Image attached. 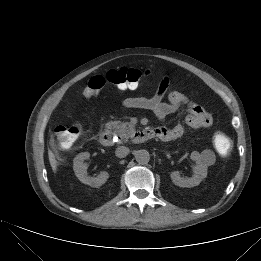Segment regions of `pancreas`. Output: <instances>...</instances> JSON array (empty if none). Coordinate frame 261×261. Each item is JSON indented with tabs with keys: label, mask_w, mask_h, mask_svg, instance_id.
Instances as JSON below:
<instances>
[{
	"label": "pancreas",
	"mask_w": 261,
	"mask_h": 261,
	"mask_svg": "<svg viewBox=\"0 0 261 261\" xmlns=\"http://www.w3.org/2000/svg\"><path fill=\"white\" fill-rule=\"evenodd\" d=\"M108 126L115 130L116 134L121 138L120 142L125 143L135 130L134 125L129 122L121 123L120 121H114L108 123Z\"/></svg>",
	"instance_id": "1"
}]
</instances>
